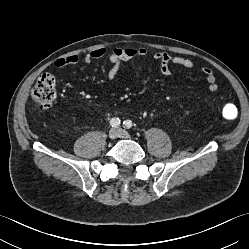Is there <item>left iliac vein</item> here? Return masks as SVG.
Masks as SVG:
<instances>
[{"label": "left iliac vein", "mask_w": 249, "mask_h": 249, "mask_svg": "<svg viewBox=\"0 0 249 249\" xmlns=\"http://www.w3.org/2000/svg\"><path fill=\"white\" fill-rule=\"evenodd\" d=\"M118 131H119V137H121V138H130V134L127 132V131H124V130H122V129H118Z\"/></svg>", "instance_id": "left-iliac-vein-1"}]
</instances>
